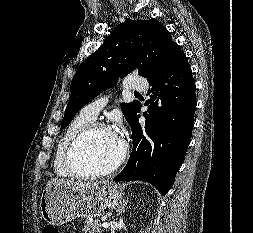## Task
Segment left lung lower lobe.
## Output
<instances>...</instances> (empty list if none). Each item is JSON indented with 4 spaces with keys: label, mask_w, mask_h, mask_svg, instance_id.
I'll return each mask as SVG.
<instances>
[{
    "label": "left lung lower lobe",
    "mask_w": 253,
    "mask_h": 233,
    "mask_svg": "<svg viewBox=\"0 0 253 233\" xmlns=\"http://www.w3.org/2000/svg\"><path fill=\"white\" fill-rule=\"evenodd\" d=\"M145 125L138 119V103L130 126L133 149L124 169L114 181L143 180L165 195L185 158L191 140L196 108L195 83L186 55L175 44L160 66L146 77Z\"/></svg>",
    "instance_id": "0a47b994"
}]
</instances>
